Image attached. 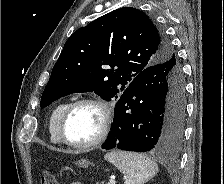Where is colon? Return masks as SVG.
Returning <instances> with one entry per match:
<instances>
[{
    "label": "colon",
    "instance_id": "colon-1",
    "mask_svg": "<svg viewBox=\"0 0 224 184\" xmlns=\"http://www.w3.org/2000/svg\"><path fill=\"white\" fill-rule=\"evenodd\" d=\"M40 184H58V181L52 173L46 171L41 176Z\"/></svg>",
    "mask_w": 224,
    "mask_h": 184
}]
</instances>
